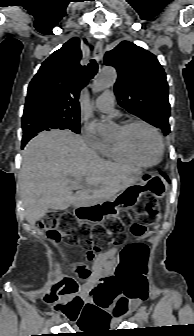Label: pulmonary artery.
Listing matches in <instances>:
<instances>
[{"label":"pulmonary artery","mask_w":194,"mask_h":336,"mask_svg":"<svg viewBox=\"0 0 194 336\" xmlns=\"http://www.w3.org/2000/svg\"><path fill=\"white\" fill-rule=\"evenodd\" d=\"M95 107L106 114H112L114 111V94L111 91L104 92L95 102Z\"/></svg>","instance_id":"e3ab8cb5"}]
</instances>
